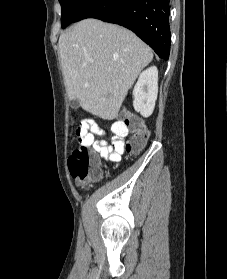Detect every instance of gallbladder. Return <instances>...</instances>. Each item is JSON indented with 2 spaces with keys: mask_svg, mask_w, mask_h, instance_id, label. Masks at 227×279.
Returning <instances> with one entry per match:
<instances>
[{
  "mask_svg": "<svg viewBox=\"0 0 227 279\" xmlns=\"http://www.w3.org/2000/svg\"><path fill=\"white\" fill-rule=\"evenodd\" d=\"M70 105H71L72 108H78L79 107V102H78V100H72L70 102Z\"/></svg>",
  "mask_w": 227,
  "mask_h": 279,
  "instance_id": "1",
  "label": "gallbladder"
}]
</instances>
